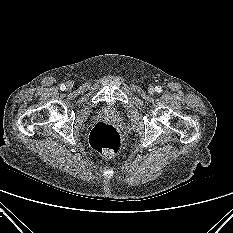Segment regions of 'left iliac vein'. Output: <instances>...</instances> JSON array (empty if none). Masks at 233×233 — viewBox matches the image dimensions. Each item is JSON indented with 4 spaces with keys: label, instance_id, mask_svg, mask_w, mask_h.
Instances as JSON below:
<instances>
[{
    "label": "left iliac vein",
    "instance_id": "4c4485c4",
    "mask_svg": "<svg viewBox=\"0 0 233 233\" xmlns=\"http://www.w3.org/2000/svg\"><path fill=\"white\" fill-rule=\"evenodd\" d=\"M148 91H149L150 94H153L155 92V89L153 87H149Z\"/></svg>",
    "mask_w": 233,
    "mask_h": 233
}]
</instances>
